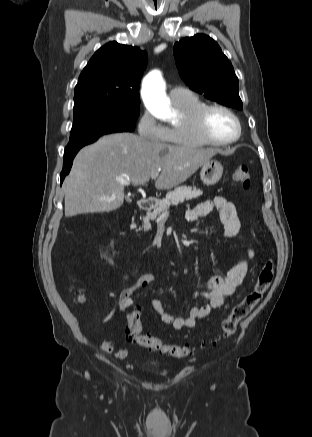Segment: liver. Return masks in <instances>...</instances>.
Here are the masks:
<instances>
[{"mask_svg": "<svg viewBox=\"0 0 312 437\" xmlns=\"http://www.w3.org/2000/svg\"><path fill=\"white\" fill-rule=\"evenodd\" d=\"M217 152L152 142L131 133L102 136L78 152L64 180L65 215L118 209L125 187L120 179L139 186L160 172L156 189H171L185 182Z\"/></svg>", "mask_w": 312, "mask_h": 437, "instance_id": "obj_1", "label": "liver"}]
</instances>
